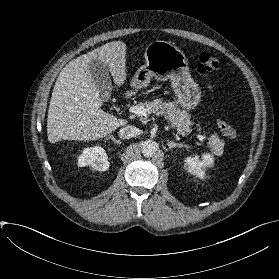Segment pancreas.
Returning a JSON list of instances; mask_svg holds the SVG:
<instances>
[{
	"instance_id": "obj_1",
	"label": "pancreas",
	"mask_w": 279,
	"mask_h": 279,
	"mask_svg": "<svg viewBox=\"0 0 279 279\" xmlns=\"http://www.w3.org/2000/svg\"><path fill=\"white\" fill-rule=\"evenodd\" d=\"M143 106L148 114L163 116L179 134L185 135L190 130V115L185 110H181L176 102H163L162 99H154L143 103ZM208 144L217 153L223 151L224 143L217 135H212Z\"/></svg>"
}]
</instances>
